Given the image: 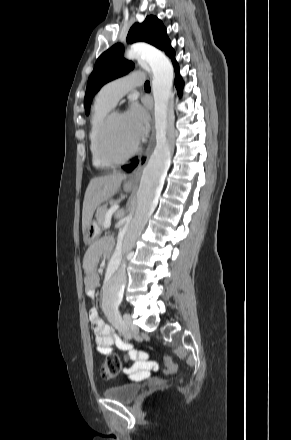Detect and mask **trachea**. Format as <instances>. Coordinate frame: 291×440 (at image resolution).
Instances as JSON below:
<instances>
[{
	"label": "trachea",
	"mask_w": 291,
	"mask_h": 440,
	"mask_svg": "<svg viewBox=\"0 0 291 440\" xmlns=\"http://www.w3.org/2000/svg\"><path fill=\"white\" fill-rule=\"evenodd\" d=\"M144 87H145V88H150V82H149V81H146L145 84H144Z\"/></svg>",
	"instance_id": "trachea-1"
}]
</instances>
